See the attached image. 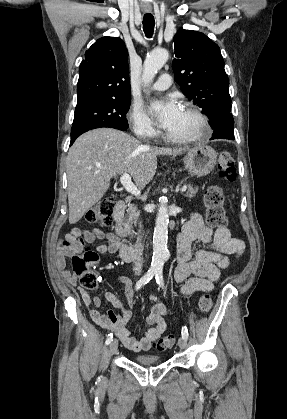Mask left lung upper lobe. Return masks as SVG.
<instances>
[{"label":"left lung upper lobe","mask_w":287,"mask_h":419,"mask_svg":"<svg viewBox=\"0 0 287 419\" xmlns=\"http://www.w3.org/2000/svg\"><path fill=\"white\" fill-rule=\"evenodd\" d=\"M174 50L175 80L216 128L231 111L229 79L219 46L201 32L181 29L174 36Z\"/></svg>","instance_id":"1"}]
</instances>
